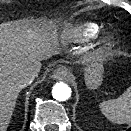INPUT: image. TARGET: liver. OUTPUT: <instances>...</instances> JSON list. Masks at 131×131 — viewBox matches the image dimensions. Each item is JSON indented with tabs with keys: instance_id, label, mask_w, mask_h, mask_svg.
Instances as JSON below:
<instances>
[{
	"instance_id": "1",
	"label": "liver",
	"mask_w": 131,
	"mask_h": 131,
	"mask_svg": "<svg viewBox=\"0 0 131 131\" xmlns=\"http://www.w3.org/2000/svg\"><path fill=\"white\" fill-rule=\"evenodd\" d=\"M54 27L26 28L20 22L0 25V131H6L23 88L21 73L40 71L41 60L58 52Z\"/></svg>"
}]
</instances>
